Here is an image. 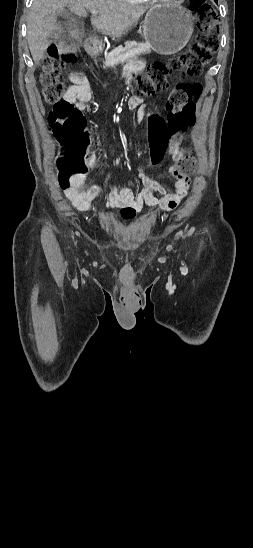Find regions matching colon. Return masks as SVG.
Segmentation results:
<instances>
[{
    "instance_id": "colon-1",
    "label": "colon",
    "mask_w": 253,
    "mask_h": 548,
    "mask_svg": "<svg viewBox=\"0 0 253 548\" xmlns=\"http://www.w3.org/2000/svg\"><path fill=\"white\" fill-rule=\"evenodd\" d=\"M196 8L200 32L195 43L187 50L171 58L168 63L153 62L146 72L135 77L133 90L136 96H153L166 92L169 88V76L177 73L181 77L199 76L210 62L217 49L219 24L214 10L206 0H190ZM75 59L74 43H65L49 49L47 57L41 60L40 82L46 102L53 105L49 122L56 139L61 144L57 159L59 182L68 186L76 175L86 174L85 164L90 137L86 131L85 118L80 109L63 96L67 92L64 78L66 65ZM201 93V85L179 84L170 94L167 105H157L155 112L166 117L149 129L151 135V166L162 161L164 155L159 137H181L195 121L196 107L194 99ZM197 162L188 150H181L171 171L190 175L196 171Z\"/></svg>"
}]
</instances>
